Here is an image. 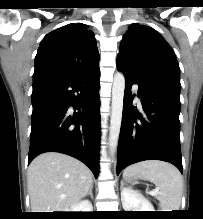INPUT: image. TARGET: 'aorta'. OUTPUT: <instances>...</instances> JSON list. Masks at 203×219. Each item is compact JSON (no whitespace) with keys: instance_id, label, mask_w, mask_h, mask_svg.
Masks as SVG:
<instances>
[{"instance_id":"1","label":"aorta","mask_w":203,"mask_h":219,"mask_svg":"<svg viewBox=\"0 0 203 219\" xmlns=\"http://www.w3.org/2000/svg\"><path fill=\"white\" fill-rule=\"evenodd\" d=\"M124 90H125V77L122 73L117 72L114 76L113 87H112V114H111L110 132H109V146L112 156L116 151L119 134H120Z\"/></svg>"}]
</instances>
